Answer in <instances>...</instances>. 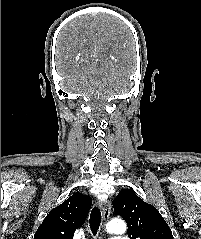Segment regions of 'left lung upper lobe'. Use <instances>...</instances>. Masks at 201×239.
I'll return each instance as SVG.
<instances>
[{
  "instance_id": "1",
  "label": "left lung upper lobe",
  "mask_w": 201,
  "mask_h": 239,
  "mask_svg": "<svg viewBox=\"0 0 201 239\" xmlns=\"http://www.w3.org/2000/svg\"><path fill=\"white\" fill-rule=\"evenodd\" d=\"M113 206L114 212L125 219L130 239H173L159 211L138 197L133 189L121 190Z\"/></svg>"
}]
</instances>
